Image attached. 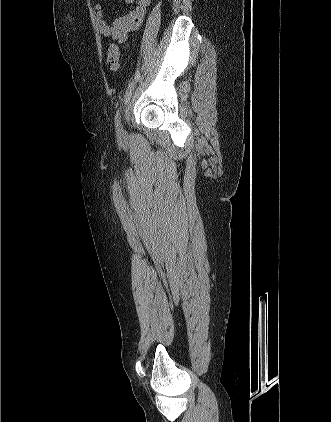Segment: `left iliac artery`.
Masks as SVG:
<instances>
[{"instance_id": "left-iliac-artery-1", "label": "left iliac artery", "mask_w": 331, "mask_h": 422, "mask_svg": "<svg viewBox=\"0 0 331 422\" xmlns=\"http://www.w3.org/2000/svg\"><path fill=\"white\" fill-rule=\"evenodd\" d=\"M120 117H121V107L117 110L116 115H115V126L118 130H122Z\"/></svg>"}]
</instances>
